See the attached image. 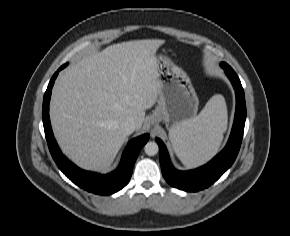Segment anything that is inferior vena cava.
<instances>
[{"label": "inferior vena cava", "instance_id": "1", "mask_svg": "<svg viewBox=\"0 0 290 236\" xmlns=\"http://www.w3.org/2000/svg\"><path fill=\"white\" fill-rule=\"evenodd\" d=\"M121 128L126 135H130L136 130V123L134 119L127 118L122 122Z\"/></svg>", "mask_w": 290, "mask_h": 236}]
</instances>
